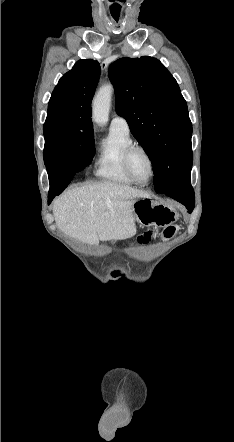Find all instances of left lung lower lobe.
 Masks as SVG:
<instances>
[{
    "label": "left lung lower lobe",
    "instance_id": "obj_1",
    "mask_svg": "<svg viewBox=\"0 0 234 442\" xmlns=\"http://www.w3.org/2000/svg\"><path fill=\"white\" fill-rule=\"evenodd\" d=\"M190 173L191 169L187 172L184 178L163 191L167 196L184 204L189 210V213H191L195 205L194 191L190 183Z\"/></svg>",
    "mask_w": 234,
    "mask_h": 442
}]
</instances>
